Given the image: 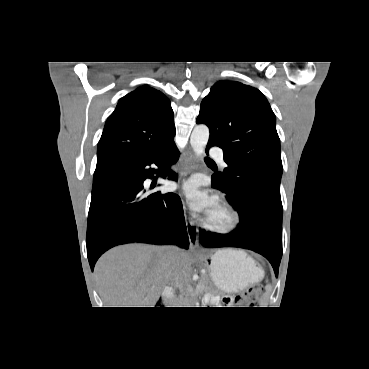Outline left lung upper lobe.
<instances>
[{
  "label": "left lung upper lobe",
  "instance_id": "5c2ea615",
  "mask_svg": "<svg viewBox=\"0 0 369 369\" xmlns=\"http://www.w3.org/2000/svg\"><path fill=\"white\" fill-rule=\"evenodd\" d=\"M196 123L210 130L209 144L223 148L228 167L213 174L233 197L268 196L281 203L282 161L275 115L256 88L236 81H219L203 99ZM239 215H249L245 202Z\"/></svg>",
  "mask_w": 369,
  "mask_h": 369
}]
</instances>
